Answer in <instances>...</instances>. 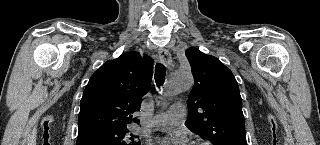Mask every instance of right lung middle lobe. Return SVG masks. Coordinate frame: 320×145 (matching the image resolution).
I'll list each match as a JSON object with an SVG mask.
<instances>
[{
	"label": "right lung middle lobe",
	"instance_id": "1",
	"mask_svg": "<svg viewBox=\"0 0 320 145\" xmlns=\"http://www.w3.org/2000/svg\"><path fill=\"white\" fill-rule=\"evenodd\" d=\"M137 136L128 133L127 128L100 129L78 136L77 144L98 142L103 145H140Z\"/></svg>",
	"mask_w": 320,
	"mask_h": 145
}]
</instances>
